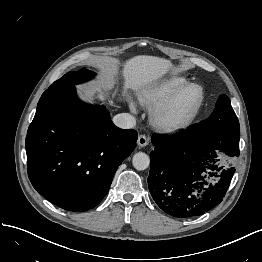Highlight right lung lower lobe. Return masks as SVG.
<instances>
[{
    "label": "right lung lower lobe",
    "mask_w": 262,
    "mask_h": 262,
    "mask_svg": "<svg viewBox=\"0 0 262 262\" xmlns=\"http://www.w3.org/2000/svg\"><path fill=\"white\" fill-rule=\"evenodd\" d=\"M137 137L132 129L117 128L104 106L81 102L74 86L47 89L27 131L29 179L58 207L89 210L107 194Z\"/></svg>",
    "instance_id": "obj_1"
}]
</instances>
